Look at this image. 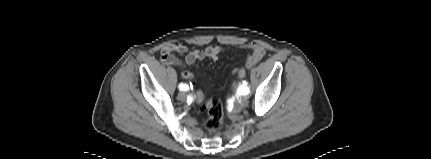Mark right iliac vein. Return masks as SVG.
Returning <instances> with one entry per match:
<instances>
[{"instance_id":"1","label":"right iliac vein","mask_w":431,"mask_h":159,"mask_svg":"<svg viewBox=\"0 0 431 159\" xmlns=\"http://www.w3.org/2000/svg\"><path fill=\"white\" fill-rule=\"evenodd\" d=\"M186 97H187L186 93H184V92H180L177 96L178 100H180L182 102L186 100Z\"/></svg>"}]
</instances>
